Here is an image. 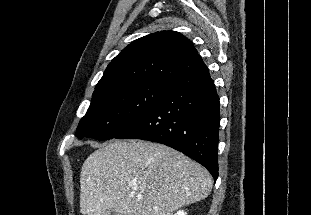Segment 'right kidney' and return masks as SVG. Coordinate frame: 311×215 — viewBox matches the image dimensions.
<instances>
[{"label": "right kidney", "mask_w": 311, "mask_h": 215, "mask_svg": "<svg viewBox=\"0 0 311 215\" xmlns=\"http://www.w3.org/2000/svg\"><path fill=\"white\" fill-rule=\"evenodd\" d=\"M174 215H187L186 212H184L183 210L182 211H178L176 214Z\"/></svg>", "instance_id": "ca27d5eb"}]
</instances>
